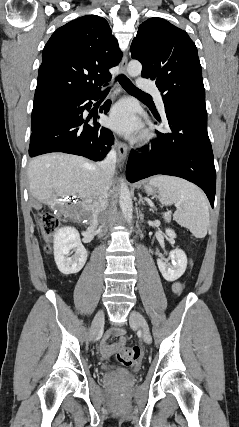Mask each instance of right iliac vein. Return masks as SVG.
Wrapping results in <instances>:
<instances>
[{"label": "right iliac vein", "mask_w": 239, "mask_h": 427, "mask_svg": "<svg viewBox=\"0 0 239 427\" xmlns=\"http://www.w3.org/2000/svg\"><path fill=\"white\" fill-rule=\"evenodd\" d=\"M103 323H104V311L100 310V311H98V313L94 317L93 322L91 324V328H90V338L91 339H93L97 335V333H98L100 327L103 325Z\"/></svg>", "instance_id": "obj_1"}]
</instances>
